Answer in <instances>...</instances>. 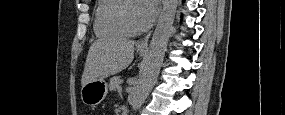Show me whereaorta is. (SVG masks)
Here are the masks:
<instances>
[{
  "instance_id": "obj_1",
  "label": "aorta",
  "mask_w": 285,
  "mask_h": 115,
  "mask_svg": "<svg viewBox=\"0 0 285 115\" xmlns=\"http://www.w3.org/2000/svg\"><path fill=\"white\" fill-rule=\"evenodd\" d=\"M177 4V0H164L163 8L150 43L146 65L132 95L131 105L134 111L140 109L157 80L168 40L173 29Z\"/></svg>"
}]
</instances>
